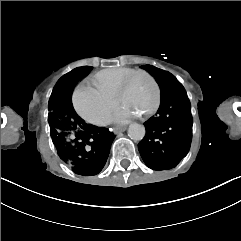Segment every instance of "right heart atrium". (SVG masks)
<instances>
[{
  "label": "right heart atrium",
  "instance_id": "1",
  "mask_svg": "<svg viewBox=\"0 0 241 241\" xmlns=\"http://www.w3.org/2000/svg\"><path fill=\"white\" fill-rule=\"evenodd\" d=\"M73 92L72 100L77 113L88 123L94 125H104L114 109L113 93L109 91L101 92L99 87L94 84L81 86ZM108 98H104V96Z\"/></svg>",
  "mask_w": 241,
  "mask_h": 241
}]
</instances>
